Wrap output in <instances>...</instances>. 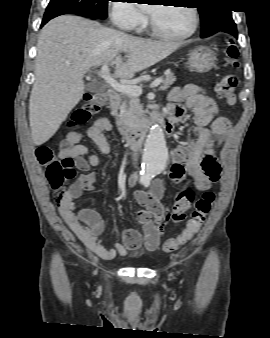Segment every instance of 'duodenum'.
<instances>
[{
	"instance_id": "1",
	"label": "duodenum",
	"mask_w": 270,
	"mask_h": 338,
	"mask_svg": "<svg viewBox=\"0 0 270 338\" xmlns=\"http://www.w3.org/2000/svg\"><path fill=\"white\" fill-rule=\"evenodd\" d=\"M107 95L110 107L114 109L117 112V114H119L120 113L119 105L121 100L119 93L116 90L110 89L108 90ZM153 125H158L164 133H167L169 135H171L173 132L172 124L169 118L163 113L158 112L154 115L152 121L144 122L135 129L134 145L136 149H140L142 147L146 133L151 129ZM119 126L124 135L130 134V128L124 121L120 120Z\"/></svg>"
}]
</instances>
